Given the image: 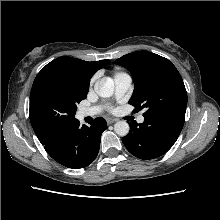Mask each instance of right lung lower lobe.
Listing matches in <instances>:
<instances>
[{
  "instance_id": "right-lung-lower-lobe-1",
  "label": "right lung lower lobe",
  "mask_w": 220,
  "mask_h": 220,
  "mask_svg": "<svg viewBox=\"0 0 220 220\" xmlns=\"http://www.w3.org/2000/svg\"><path fill=\"white\" fill-rule=\"evenodd\" d=\"M107 123L98 117L90 127L76 119L43 144L46 152L58 163L68 168H84L92 163L100 148V139Z\"/></svg>"
}]
</instances>
